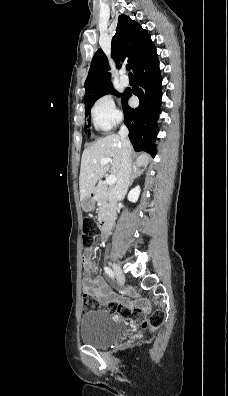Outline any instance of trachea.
<instances>
[{"label": "trachea", "mask_w": 228, "mask_h": 396, "mask_svg": "<svg viewBox=\"0 0 228 396\" xmlns=\"http://www.w3.org/2000/svg\"><path fill=\"white\" fill-rule=\"evenodd\" d=\"M126 70H127V71H130V65H127V66H126ZM129 76H133V74L130 72V73H129Z\"/></svg>", "instance_id": "obj_1"}]
</instances>
